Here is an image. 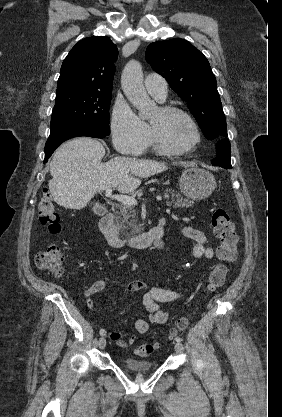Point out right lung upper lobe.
Masks as SVG:
<instances>
[{
  "instance_id": "cb5924a9",
  "label": "right lung upper lobe",
  "mask_w": 282,
  "mask_h": 417,
  "mask_svg": "<svg viewBox=\"0 0 282 417\" xmlns=\"http://www.w3.org/2000/svg\"><path fill=\"white\" fill-rule=\"evenodd\" d=\"M117 57L116 45L106 36L79 41L63 61L57 93L72 90L111 92Z\"/></svg>"
}]
</instances>
